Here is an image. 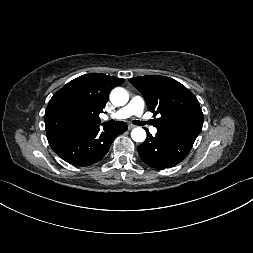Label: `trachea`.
Wrapping results in <instances>:
<instances>
[{"label": "trachea", "mask_w": 253, "mask_h": 253, "mask_svg": "<svg viewBox=\"0 0 253 253\" xmlns=\"http://www.w3.org/2000/svg\"><path fill=\"white\" fill-rule=\"evenodd\" d=\"M132 123L135 124V125H138V126H143L144 125V123L142 121H137V120L132 121ZM114 124H115L114 120L109 121V125H114Z\"/></svg>", "instance_id": "1"}]
</instances>
